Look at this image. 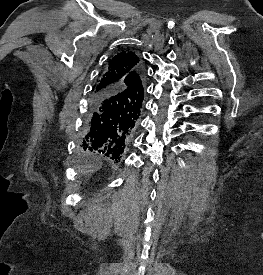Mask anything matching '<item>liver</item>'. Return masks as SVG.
I'll list each match as a JSON object with an SVG mask.
<instances>
[{"label": "liver", "instance_id": "obj_1", "mask_svg": "<svg viewBox=\"0 0 263 275\" xmlns=\"http://www.w3.org/2000/svg\"><path fill=\"white\" fill-rule=\"evenodd\" d=\"M82 173H89L90 171H87V170H85V169H81L80 170Z\"/></svg>", "mask_w": 263, "mask_h": 275}]
</instances>
